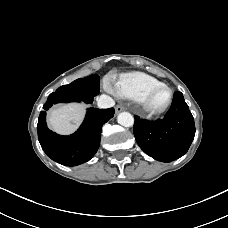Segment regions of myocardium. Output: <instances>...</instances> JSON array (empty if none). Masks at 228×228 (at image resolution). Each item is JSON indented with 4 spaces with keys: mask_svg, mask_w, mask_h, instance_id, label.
Listing matches in <instances>:
<instances>
[{
    "mask_svg": "<svg viewBox=\"0 0 228 228\" xmlns=\"http://www.w3.org/2000/svg\"><path fill=\"white\" fill-rule=\"evenodd\" d=\"M160 89H165L167 91V99L164 102V104L161 105L160 107L153 108L150 105V99H151L152 95ZM172 100H173V91L171 90V88L169 86L162 83V84L155 85V86L149 88L143 94V96L141 97V99L139 101H140L143 111L146 114H148L150 116H156V115H160V114L164 113L170 107Z\"/></svg>",
    "mask_w": 228,
    "mask_h": 228,
    "instance_id": "myocardium-1",
    "label": "myocardium"
}]
</instances>
